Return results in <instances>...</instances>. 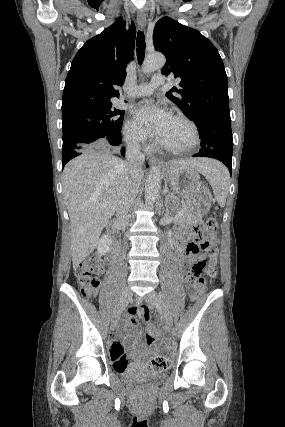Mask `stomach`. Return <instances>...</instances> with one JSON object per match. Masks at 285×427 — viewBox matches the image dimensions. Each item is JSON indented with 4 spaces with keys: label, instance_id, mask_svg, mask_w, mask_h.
<instances>
[{
    "label": "stomach",
    "instance_id": "stomach-1",
    "mask_svg": "<svg viewBox=\"0 0 285 427\" xmlns=\"http://www.w3.org/2000/svg\"><path fill=\"white\" fill-rule=\"evenodd\" d=\"M164 176L174 193L187 200L190 217L195 220L205 216L210 208L212 194L200 182L198 171L187 165L169 163L164 167Z\"/></svg>",
    "mask_w": 285,
    "mask_h": 427
}]
</instances>
